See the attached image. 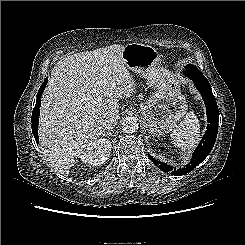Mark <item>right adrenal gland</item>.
Listing matches in <instances>:
<instances>
[{"label":"right adrenal gland","mask_w":245,"mask_h":245,"mask_svg":"<svg viewBox=\"0 0 245 245\" xmlns=\"http://www.w3.org/2000/svg\"><path fill=\"white\" fill-rule=\"evenodd\" d=\"M112 131H113V130H110V131L104 133L103 136H107V135L112 136Z\"/></svg>","instance_id":"1"}]
</instances>
